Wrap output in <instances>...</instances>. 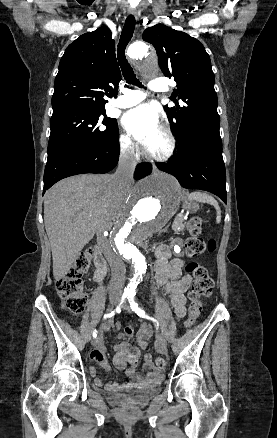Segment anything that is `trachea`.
<instances>
[{"instance_id": "trachea-1", "label": "trachea", "mask_w": 277, "mask_h": 438, "mask_svg": "<svg viewBox=\"0 0 277 438\" xmlns=\"http://www.w3.org/2000/svg\"><path fill=\"white\" fill-rule=\"evenodd\" d=\"M135 24L136 21L134 16L129 15L125 20V24L121 32V36L117 48V57L123 73V77L126 80V82L129 85H136L137 87L145 88L143 87L142 83L136 78V75L125 56V50L133 36Z\"/></svg>"}]
</instances>
